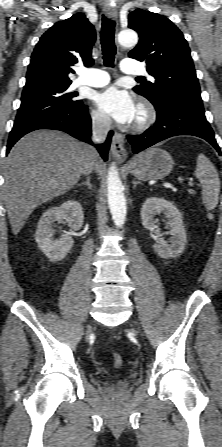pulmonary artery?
<instances>
[{
    "label": "pulmonary artery",
    "mask_w": 222,
    "mask_h": 447,
    "mask_svg": "<svg viewBox=\"0 0 222 447\" xmlns=\"http://www.w3.org/2000/svg\"><path fill=\"white\" fill-rule=\"evenodd\" d=\"M121 71L126 75L146 74L145 66L134 59H125L122 62ZM79 74V78L73 84L74 87H103L110 82L108 73L101 69L82 68L79 70Z\"/></svg>",
    "instance_id": "obj_1"
}]
</instances>
